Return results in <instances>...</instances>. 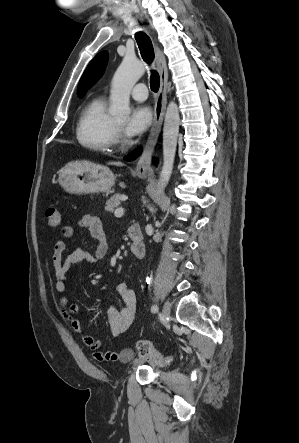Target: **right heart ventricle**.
I'll return each mask as SVG.
<instances>
[{"instance_id": "1", "label": "right heart ventricle", "mask_w": 299, "mask_h": 443, "mask_svg": "<svg viewBox=\"0 0 299 443\" xmlns=\"http://www.w3.org/2000/svg\"><path fill=\"white\" fill-rule=\"evenodd\" d=\"M114 120L108 114L104 98L92 99L82 110L76 126L79 144L94 152H109L114 134Z\"/></svg>"}]
</instances>
